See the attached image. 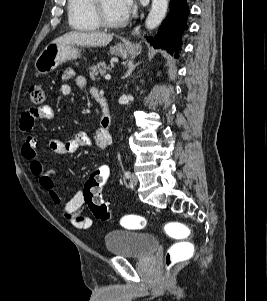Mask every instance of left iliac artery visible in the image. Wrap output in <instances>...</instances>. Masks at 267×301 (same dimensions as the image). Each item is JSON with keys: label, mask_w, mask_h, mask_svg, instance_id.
<instances>
[{"label": "left iliac artery", "mask_w": 267, "mask_h": 301, "mask_svg": "<svg viewBox=\"0 0 267 301\" xmlns=\"http://www.w3.org/2000/svg\"><path fill=\"white\" fill-rule=\"evenodd\" d=\"M125 177H126V178H130V172H129V171H126V172H125Z\"/></svg>", "instance_id": "1"}]
</instances>
